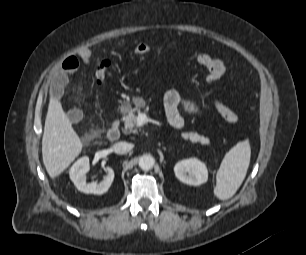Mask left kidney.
<instances>
[{"label": "left kidney", "mask_w": 306, "mask_h": 255, "mask_svg": "<svg viewBox=\"0 0 306 255\" xmlns=\"http://www.w3.org/2000/svg\"><path fill=\"white\" fill-rule=\"evenodd\" d=\"M176 177L183 183L199 186L208 179L206 165L196 158L185 159L174 167Z\"/></svg>", "instance_id": "1"}]
</instances>
